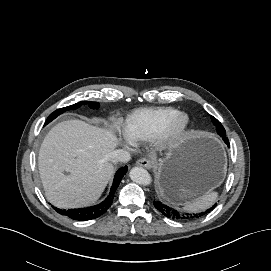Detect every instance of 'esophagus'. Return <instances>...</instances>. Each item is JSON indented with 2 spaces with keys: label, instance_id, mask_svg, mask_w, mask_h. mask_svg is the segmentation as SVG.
I'll return each instance as SVG.
<instances>
[{
  "label": "esophagus",
  "instance_id": "34e87169",
  "mask_svg": "<svg viewBox=\"0 0 271 271\" xmlns=\"http://www.w3.org/2000/svg\"><path fill=\"white\" fill-rule=\"evenodd\" d=\"M136 164L146 169H151L153 167V163L146 158L139 159Z\"/></svg>",
  "mask_w": 271,
  "mask_h": 271
}]
</instances>
